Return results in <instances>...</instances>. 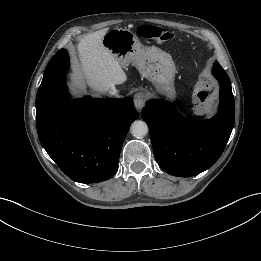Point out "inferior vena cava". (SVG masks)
<instances>
[{"label": "inferior vena cava", "instance_id": "obj_1", "mask_svg": "<svg viewBox=\"0 0 261 261\" xmlns=\"http://www.w3.org/2000/svg\"><path fill=\"white\" fill-rule=\"evenodd\" d=\"M110 94L114 96H119L118 91L116 89L111 90Z\"/></svg>", "mask_w": 261, "mask_h": 261}]
</instances>
